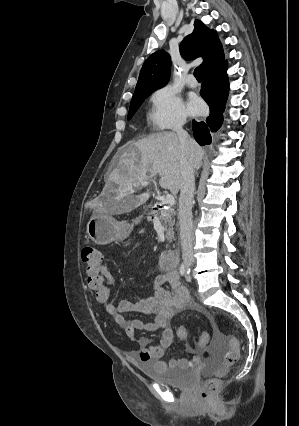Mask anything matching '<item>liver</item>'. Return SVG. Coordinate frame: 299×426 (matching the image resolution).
I'll return each mask as SVG.
<instances>
[{
	"label": "liver",
	"mask_w": 299,
	"mask_h": 426,
	"mask_svg": "<svg viewBox=\"0 0 299 426\" xmlns=\"http://www.w3.org/2000/svg\"><path fill=\"white\" fill-rule=\"evenodd\" d=\"M186 154L193 169L202 164L204 150L193 139H188L186 149L180 144L173 132L150 135L129 144L119 157L117 167L112 170L103 194L106 198L100 209L110 207L117 212H129L150 197L147 190L141 194H132L140 190L144 181L159 175V185L176 195L180 190V160Z\"/></svg>",
	"instance_id": "obj_1"
}]
</instances>
